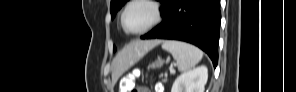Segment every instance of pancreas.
<instances>
[{
	"instance_id": "pancreas-1",
	"label": "pancreas",
	"mask_w": 296,
	"mask_h": 92,
	"mask_svg": "<svg viewBox=\"0 0 296 92\" xmlns=\"http://www.w3.org/2000/svg\"><path fill=\"white\" fill-rule=\"evenodd\" d=\"M166 81H167V79H164V80H163V82H166Z\"/></svg>"
}]
</instances>
